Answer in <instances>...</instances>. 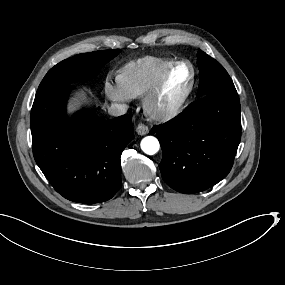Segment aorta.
<instances>
[{"instance_id":"1","label":"aorta","mask_w":285,"mask_h":285,"mask_svg":"<svg viewBox=\"0 0 285 285\" xmlns=\"http://www.w3.org/2000/svg\"><path fill=\"white\" fill-rule=\"evenodd\" d=\"M158 140L153 136H147L141 141V149L148 155H154L159 151Z\"/></svg>"}]
</instances>
